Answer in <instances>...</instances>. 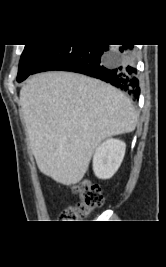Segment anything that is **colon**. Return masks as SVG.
Returning a JSON list of instances; mask_svg holds the SVG:
<instances>
[{
    "mask_svg": "<svg viewBox=\"0 0 166 267\" xmlns=\"http://www.w3.org/2000/svg\"><path fill=\"white\" fill-rule=\"evenodd\" d=\"M79 200L76 204L66 207L61 212L63 223H76L89 217L104 203V196L98 185L89 181H82L76 186Z\"/></svg>",
    "mask_w": 166,
    "mask_h": 267,
    "instance_id": "obj_1",
    "label": "colon"
}]
</instances>
